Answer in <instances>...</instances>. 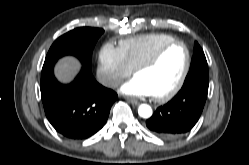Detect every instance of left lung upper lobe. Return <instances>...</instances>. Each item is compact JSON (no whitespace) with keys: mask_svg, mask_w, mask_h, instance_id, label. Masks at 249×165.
I'll return each mask as SVG.
<instances>
[{"mask_svg":"<svg viewBox=\"0 0 249 165\" xmlns=\"http://www.w3.org/2000/svg\"><path fill=\"white\" fill-rule=\"evenodd\" d=\"M194 77L208 78V65L204 55V52L200 45L195 42L194 55L192 58L190 71L185 79L189 80Z\"/></svg>","mask_w":249,"mask_h":165,"instance_id":"5c2ea615","label":"left lung upper lobe"}]
</instances>
